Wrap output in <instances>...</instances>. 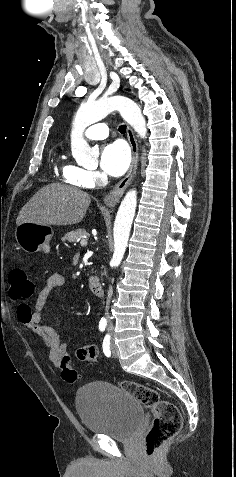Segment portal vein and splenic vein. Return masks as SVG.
Listing matches in <instances>:
<instances>
[{
    "label": "portal vein and splenic vein",
    "instance_id": "1",
    "mask_svg": "<svg viewBox=\"0 0 236 477\" xmlns=\"http://www.w3.org/2000/svg\"><path fill=\"white\" fill-rule=\"evenodd\" d=\"M81 246H86L87 245V241L85 239L81 240L80 242Z\"/></svg>",
    "mask_w": 236,
    "mask_h": 477
}]
</instances>
